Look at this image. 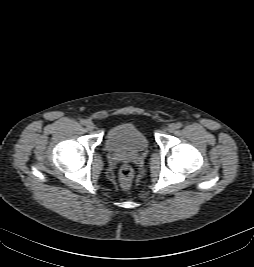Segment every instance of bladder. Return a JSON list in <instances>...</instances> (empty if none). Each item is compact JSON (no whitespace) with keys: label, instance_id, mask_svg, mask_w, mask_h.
<instances>
[{"label":"bladder","instance_id":"bladder-1","mask_svg":"<svg viewBox=\"0 0 254 267\" xmlns=\"http://www.w3.org/2000/svg\"><path fill=\"white\" fill-rule=\"evenodd\" d=\"M105 147L116 153L137 154L148 148V139L136 125L120 123L108 130Z\"/></svg>","mask_w":254,"mask_h":267}]
</instances>
